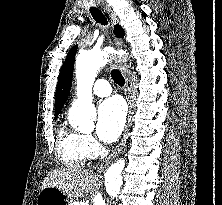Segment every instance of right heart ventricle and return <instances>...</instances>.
<instances>
[{
	"mask_svg": "<svg viewBox=\"0 0 222 205\" xmlns=\"http://www.w3.org/2000/svg\"><path fill=\"white\" fill-rule=\"evenodd\" d=\"M56 153L59 161L70 167L82 166L90 158L84 146L83 135L65 125L58 130Z\"/></svg>",
	"mask_w": 222,
	"mask_h": 205,
	"instance_id": "e07e8e85",
	"label": "right heart ventricle"
}]
</instances>
